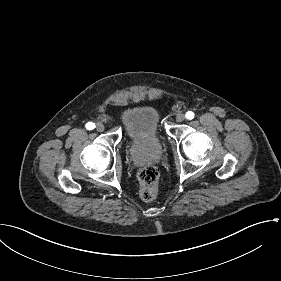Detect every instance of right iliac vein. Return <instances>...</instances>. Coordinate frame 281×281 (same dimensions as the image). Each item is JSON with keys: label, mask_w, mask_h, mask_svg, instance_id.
I'll return each mask as SVG.
<instances>
[{"label": "right iliac vein", "mask_w": 281, "mask_h": 281, "mask_svg": "<svg viewBox=\"0 0 281 281\" xmlns=\"http://www.w3.org/2000/svg\"><path fill=\"white\" fill-rule=\"evenodd\" d=\"M96 130H97L98 132L104 131V125H103L102 123H98V124L96 125Z\"/></svg>", "instance_id": "right-iliac-vein-1"}]
</instances>
